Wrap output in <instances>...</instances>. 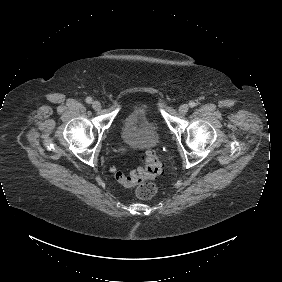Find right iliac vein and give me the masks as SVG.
<instances>
[{"label": "right iliac vein", "mask_w": 282, "mask_h": 282, "mask_svg": "<svg viewBox=\"0 0 282 282\" xmlns=\"http://www.w3.org/2000/svg\"><path fill=\"white\" fill-rule=\"evenodd\" d=\"M92 107H93L94 110L99 111L101 109V104H100L99 101H94L92 103Z\"/></svg>", "instance_id": "63e3f726"}]
</instances>
